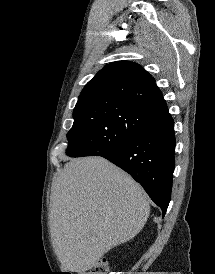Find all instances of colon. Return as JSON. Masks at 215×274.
I'll return each mask as SVG.
<instances>
[{
  "label": "colon",
  "mask_w": 215,
  "mask_h": 274,
  "mask_svg": "<svg viewBox=\"0 0 215 274\" xmlns=\"http://www.w3.org/2000/svg\"><path fill=\"white\" fill-rule=\"evenodd\" d=\"M109 271V264L105 258L97 261L92 269L87 274H107Z\"/></svg>",
  "instance_id": "1"
}]
</instances>
